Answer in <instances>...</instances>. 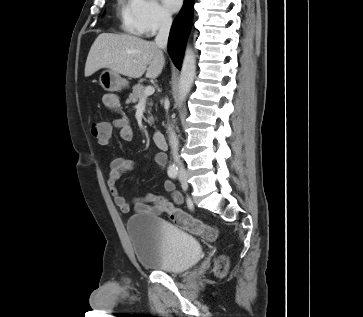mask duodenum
Returning <instances> with one entry per match:
<instances>
[{
	"label": "duodenum",
	"mask_w": 363,
	"mask_h": 317,
	"mask_svg": "<svg viewBox=\"0 0 363 317\" xmlns=\"http://www.w3.org/2000/svg\"><path fill=\"white\" fill-rule=\"evenodd\" d=\"M153 142H154L155 146L160 149L167 148L166 138L161 131H155L153 133Z\"/></svg>",
	"instance_id": "duodenum-1"
}]
</instances>
